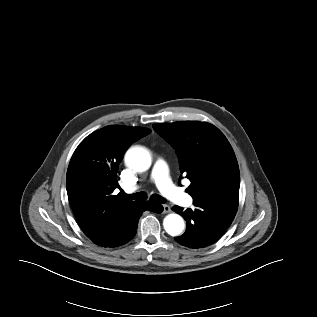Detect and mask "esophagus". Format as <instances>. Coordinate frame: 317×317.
Returning a JSON list of instances; mask_svg holds the SVG:
<instances>
[{
	"mask_svg": "<svg viewBox=\"0 0 317 317\" xmlns=\"http://www.w3.org/2000/svg\"><path fill=\"white\" fill-rule=\"evenodd\" d=\"M170 206H168V205H166V204H164L163 205V213H169L170 212Z\"/></svg>",
	"mask_w": 317,
	"mask_h": 317,
	"instance_id": "34e87169",
	"label": "esophagus"
}]
</instances>
